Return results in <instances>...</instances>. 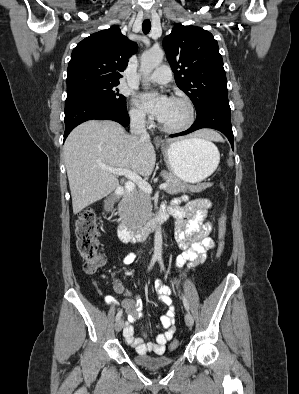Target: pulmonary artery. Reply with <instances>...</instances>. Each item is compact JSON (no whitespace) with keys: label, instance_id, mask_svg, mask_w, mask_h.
<instances>
[{"label":"pulmonary artery","instance_id":"obj_1","mask_svg":"<svg viewBox=\"0 0 299 394\" xmlns=\"http://www.w3.org/2000/svg\"><path fill=\"white\" fill-rule=\"evenodd\" d=\"M148 80L157 84H168L171 81V70L168 66H160L148 77Z\"/></svg>","mask_w":299,"mask_h":394}]
</instances>
